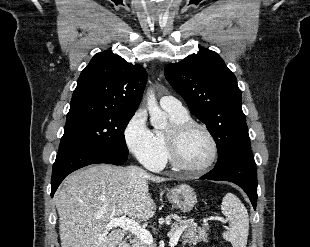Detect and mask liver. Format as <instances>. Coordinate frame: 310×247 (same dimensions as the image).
Segmentation results:
<instances>
[{
	"label": "liver",
	"instance_id": "liver-1",
	"mask_svg": "<svg viewBox=\"0 0 310 247\" xmlns=\"http://www.w3.org/2000/svg\"><path fill=\"white\" fill-rule=\"evenodd\" d=\"M136 166L96 164L68 176L54 196L59 214L61 247H116L122 229H107L115 218L146 221L155 202L148 182L168 181Z\"/></svg>",
	"mask_w": 310,
	"mask_h": 247
}]
</instances>
